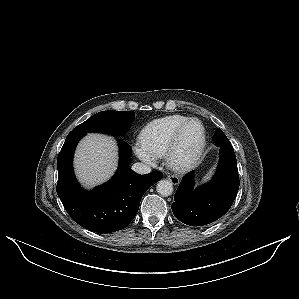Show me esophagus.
I'll use <instances>...</instances> for the list:
<instances>
[{"label": "esophagus", "mask_w": 299, "mask_h": 299, "mask_svg": "<svg viewBox=\"0 0 299 299\" xmlns=\"http://www.w3.org/2000/svg\"><path fill=\"white\" fill-rule=\"evenodd\" d=\"M167 179L174 185H178L180 182V179L175 175H167Z\"/></svg>", "instance_id": "esophagus-1"}]
</instances>
